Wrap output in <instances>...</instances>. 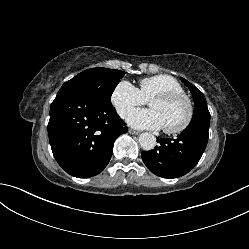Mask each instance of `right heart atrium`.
<instances>
[{
    "label": "right heart atrium",
    "mask_w": 249,
    "mask_h": 249,
    "mask_svg": "<svg viewBox=\"0 0 249 249\" xmlns=\"http://www.w3.org/2000/svg\"><path fill=\"white\" fill-rule=\"evenodd\" d=\"M110 100L116 112L122 118L126 117L134 107L145 103L139 90L125 80L120 81L114 87Z\"/></svg>",
    "instance_id": "right-heart-atrium-1"
}]
</instances>
